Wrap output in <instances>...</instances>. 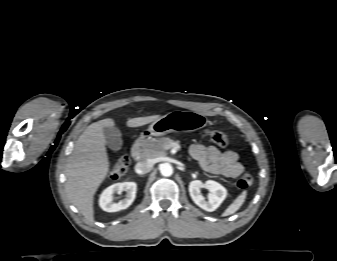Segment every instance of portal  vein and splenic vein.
I'll list each match as a JSON object with an SVG mask.
<instances>
[{"instance_id": "portal-vein-and-splenic-vein-1", "label": "portal vein and splenic vein", "mask_w": 337, "mask_h": 261, "mask_svg": "<svg viewBox=\"0 0 337 261\" xmlns=\"http://www.w3.org/2000/svg\"><path fill=\"white\" fill-rule=\"evenodd\" d=\"M167 148L180 149V146L177 143H170Z\"/></svg>"}]
</instances>
